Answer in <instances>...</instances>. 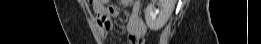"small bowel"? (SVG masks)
<instances>
[{
  "mask_svg": "<svg viewBox=\"0 0 261 44\" xmlns=\"http://www.w3.org/2000/svg\"><path fill=\"white\" fill-rule=\"evenodd\" d=\"M129 3L130 1L121 2L122 5H127ZM93 9L97 17L100 34L103 37L108 36L114 27L111 17L118 15L120 12L119 9L115 6L109 7L106 4L104 6H97L95 4ZM127 32L128 40L132 44H136V40L141 39L146 33V25L142 19L140 2L138 1H135L132 4V11L127 22Z\"/></svg>",
  "mask_w": 261,
  "mask_h": 44,
  "instance_id": "1",
  "label": "small bowel"
}]
</instances>
